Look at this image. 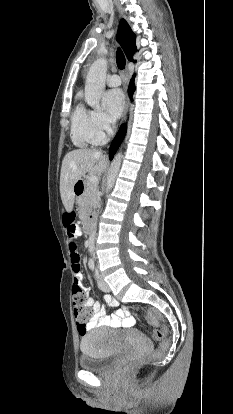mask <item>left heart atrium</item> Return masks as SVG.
<instances>
[{"label": "left heart atrium", "mask_w": 233, "mask_h": 414, "mask_svg": "<svg viewBox=\"0 0 233 414\" xmlns=\"http://www.w3.org/2000/svg\"><path fill=\"white\" fill-rule=\"evenodd\" d=\"M104 104L108 113L113 118H118L125 105V97L120 89H112L105 93Z\"/></svg>", "instance_id": "left-heart-atrium-1"}]
</instances>
